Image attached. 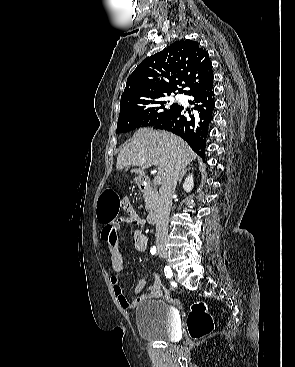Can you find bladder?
<instances>
[{"label": "bladder", "instance_id": "1", "mask_svg": "<svg viewBox=\"0 0 295 367\" xmlns=\"http://www.w3.org/2000/svg\"><path fill=\"white\" fill-rule=\"evenodd\" d=\"M136 325L144 339L173 341L177 337V312L162 300H145L137 307Z\"/></svg>", "mask_w": 295, "mask_h": 367}]
</instances>
